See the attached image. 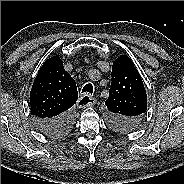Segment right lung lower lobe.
Returning <instances> with one entry per match:
<instances>
[{
  "label": "right lung lower lobe",
  "instance_id": "98d812e1",
  "mask_svg": "<svg viewBox=\"0 0 184 184\" xmlns=\"http://www.w3.org/2000/svg\"><path fill=\"white\" fill-rule=\"evenodd\" d=\"M37 128L46 135H53L73 124L71 111L54 119L42 120L35 119Z\"/></svg>",
  "mask_w": 184,
  "mask_h": 184
}]
</instances>
